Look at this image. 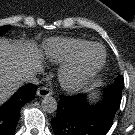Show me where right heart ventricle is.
Listing matches in <instances>:
<instances>
[{
  "label": "right heart ventricle",
  "instance_id": "1",
  "mask_svg": "<svg viewBox=\"0 0 135 135\" xmlns=\"http://www.w3.org/2000/svg\"><path fill=\"white\" fill-rule=\"evenodd\" d=\"M91 44L83 39L54 38L44 45V54L53 63H67L75 59L81 51Z\"/></svg>",
  "mask_w": 135,
  "mask_h": 135
}]
</instances>
